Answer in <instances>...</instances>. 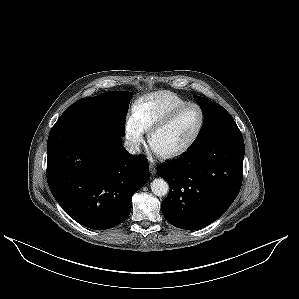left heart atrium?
I'll return each mask as SVG.
<instances>
[{
	"mask_svg": "<svg viewBox=\"0 0 299 299\" xmlns=\"http://www.w3.org/2000/svg\"><path fill=\"white\" fill-rule=\"evenodd\" d=\"M151 150L157 155L161 154L153 145H151Z\"/></svg>",
	"mask_w": 299,
	"mask_h": 299,
	"instance_id": "left-heart-atrium-1",
	"label": "left heart atrium"
}]
</instances>
